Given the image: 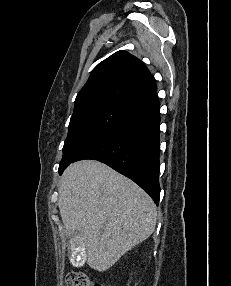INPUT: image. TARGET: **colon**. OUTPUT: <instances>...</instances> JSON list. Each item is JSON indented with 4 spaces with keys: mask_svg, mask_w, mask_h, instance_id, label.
Returning a JSON list of instances; mask_svg holds the SVG:
<instances>
[{
    "mask_svg": "<svg viewBox=\"0 0 231 286\" xmlns=\"http://www.w3.org/2000/svg\"><path fill=\"white\" fill-rule=\"evenodd\" d=\"M65 286H105L93 281L86 273L82 271H73L67 274Z\"/></svg>",
    "mask_w": 231,
    "mask_h": 286,
    "instance_id": "1",
    "label": "colon"
}]
</instances>
